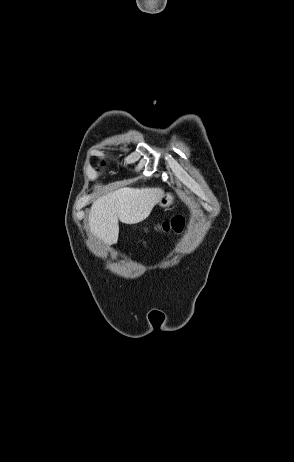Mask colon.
<instances>
[{
  "label": "colon",
  "mask_w": 294,
  "mask_h": 462,
  "mask_svg": "<svg viewBox=\"0 0 294 462\" xmlns=\"http://www.w3.org/2000/svg\"><path fill=\"white\" fill-rule=\"evenodd\" d=\"M185 221L183 217L177 216L170 220L163 221L156 228L163 232L180 233L184 227Z\"/></svg>",
  "instance_id": "obj_1"
}]
</instances>
